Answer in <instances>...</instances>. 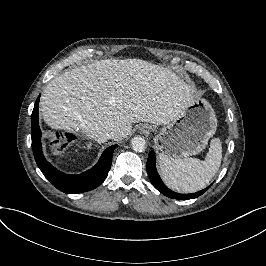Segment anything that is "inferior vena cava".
I'll use <instances>...</instances> for the list:
<instances>
[{
  "label": "inferior vena cava",
  "instance_id": "inferior-vena-cava-1",
  "mask_svg": "<svg viewBox=\"0 0 266 266\" xmlns=\"http://www.w3.org/2000/svg\"><path fill=\"white\" fill-rule=\"evenodd\" d=\"M115 133L116 132L113 130L98 131L95 134L94 140L98 141L99 143H103V142L109 140L112 136H114Z\"/></svg>",
  "mask_w": 266,
  "mask_h": 266
}]
</instances>
